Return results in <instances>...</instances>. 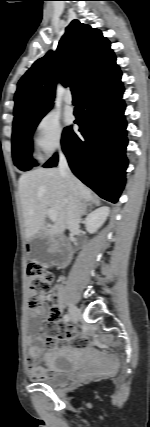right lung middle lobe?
<instances>
[{
	"label": "right lung middle lobe",
	"instance_id": "1",
	"mask_svg": "<svg viewBox=\"0 0 150 427\" xmlns=\"http://www.w3.org/2000/svg\"><path fill=\"white\" fill-rule=\"evenodd\" d=\"M48 110L13 123V161L14 164L22 171L30 170L35 164V161L31 157V151L33 149L31 141L32 134L41 118L48 112Z\"/></svg>",
	"mask_w": 150,
	"mask_h": 427
}]
</instances>
